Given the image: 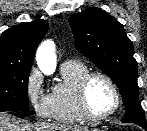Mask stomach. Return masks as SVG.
Instances as JSON below:
<instances>
[{"label":"stomach","mask_w":147,"mask_h":131,"mask_svg":"<svg viewBox=\"0 0 147 131\" xmlns=\"http://www.w3.org/2000/svg\"><path fill=\"white\" fill-rule=\"evenodd\" d=\"M85 131H99V130H97V129H90V130L86 129Z\"/></svg>","instance_id":"0dacf381"}]
</instances>
